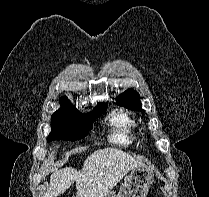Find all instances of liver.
<instances>
[{"mask_svg":"<svg viewBox=\"0 0 209 197\" xmlns=\"http://www.w3.org/2000/svg\"><path fill=\"white\" fill-rule=\"evenodd\" d=\"M141 165L142 161L122 150L99 149L86 158L81 171L66 167L53 172L45 197L60 196L74 182L75 197H104L129 171Z\"/></svg>","mask_w":209,"mask_h":197,"instance_id":"liver-1","label":"liver"}]
</instances>
